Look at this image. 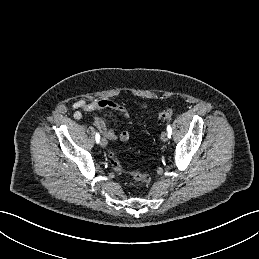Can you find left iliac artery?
Instances as JSON below:
<instances>
[{
    "instance_id": "left-iliac-artery-1",
    "label": "left iliac artery",
    "mask_w": 259,
    "mask_h": 259,
    "mask_svg": "<svg viewBox=\"0 0 259 259\" xmlns=\"http://www.w3.org/2000/svg\"><path fill=\"white\" fill-rule=\"evenodd\" d=\"M167 132H168V138H171L172 129H171V126L169 124L167 125Z\"/></svg>"
}]
</instances>
